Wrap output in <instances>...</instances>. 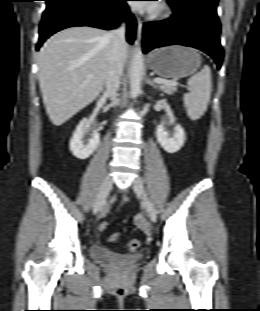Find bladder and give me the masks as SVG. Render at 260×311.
I'll use <instances>...</instances> for the list:
<instances>
[{"instance_id":"obj_1","label":"bladder","mask_w":260,"mask_h":311,"mask_svg":"<svg viewBox=\"0 0 260 311\" xmlns=\"http://www.w3.org/2000/svg\"><path fill=\"white\" fill-rule=\"evenodd\" d=\"M89 253L92 259L104 263H112L120 260L127 262H137L142 259L140 254L121 255L109 248L100 245H91L89 247Z\"/></svg>"}]
</instances>
